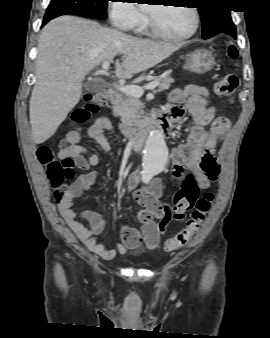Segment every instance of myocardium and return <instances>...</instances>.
<instances>
[{
	"label": "myocardium",
	"mask_w": 270,
	"mask_h": 338,
	"mask_svg": "<svg viewBox=\"0 0 270 338\" xmlns=\"http://www.w3.org/2000/svg\"><path fill=\"white\" fill-rule=\"evenodd\" d=\"M161 6H166V5H161ZM187 8H189L193 14V18H194V25L193 28L190 32L186 33V34H182V35H173V34H169L166 33L162 30L159 29V27L157 26L154 17L152 16V14L150 12H148V22H149V27H150V31L151 33L159 38L162 39H166V40H173V41H180V40H185V39H189L191 38L193 35H195V33L198 30L199 27V14L196 8L188 5Z\"/></svg>",
	"instance_id": "obj_1"
}]
</instances>
